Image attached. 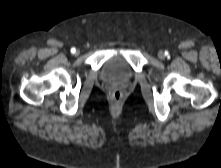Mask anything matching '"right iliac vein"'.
<instances>
[{
    "instance_id": "right-iliac-vein-1",
    "label": "right iliac vein",
    "mask_w": 221,
    "mask_h": 168,
    "mask_svg": "<svg viewBox=\"0 0 221 168\" xmlns=\"http://www.w3.org/2000/svg\"><path fill=\"white\" fill-rule=\"evenodd\" d=\"M75 53H76V54H79V51H76Z\"/></svg>"
}]
</instances>
